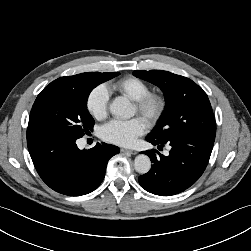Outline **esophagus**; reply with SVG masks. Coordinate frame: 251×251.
<instances>
[{"mask_svg":"<svg viewBox=\"0 0 251 251\" xmlns=\"http://www.w3.org/2000/svg\"><path fill=\"white\" fill-rule=\"evenodd\" d=\"M121 152L122 153H129V154H132V155L137 154V151H135V150H129V149H124V148L121 149Z\"/></svg>","mask_w":251,"mask_h":251,"instance_id":"esophagus-1","label":"esophagus"}]
</instances>
